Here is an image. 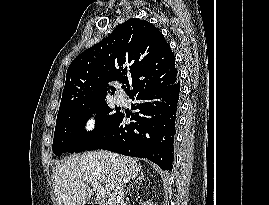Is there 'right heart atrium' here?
Wrapping results in <instances>:
<instances>
[{"instance_id": "d8ad5b80", "label": "right heart atrium", "mask_w": 269, "mask_h": 205, "mask_svg": "<svg viewBox=\"0 0 269 205\" xmlns=\"http://www.w3.org/2000/svg\"><path fill=\"white\" fill-rule=\"evenodd\" d=\"M103 128V117L97 111L87 113L79 123V133L83 137H92Z\"/></svg>"}]
</instances>
